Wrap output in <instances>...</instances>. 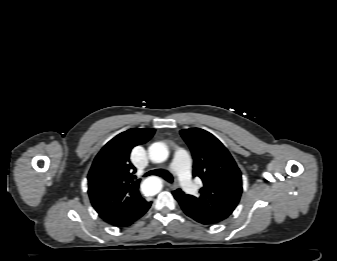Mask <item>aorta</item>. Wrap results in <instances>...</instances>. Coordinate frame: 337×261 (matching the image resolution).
Listing matches in <instances>:
<instances>
[{"instance_id":"1","label":"aorta","mask_w":337,"mask_h":261,"mask_svg":"<svg viewBox=\"0 0 337 261\" xmlns=\"http://www.w3.org/2000/svg\"><path fill=\"white\" fill-rule=\"evenodd\" d=\"M149 158L152 162H164L169 155L167 146L162 142H155L149 146ZM162 184L159 178L152 176L145 179L141 184V190L145 195H156L160 192Z\"/></svg>"}]
</instances>
